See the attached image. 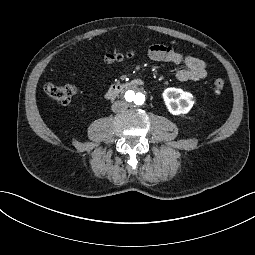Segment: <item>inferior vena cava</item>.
I'll list each match as a JSON object with an SVG mask.
<instances>
[{"label": "inferior vena cava", "mask_w": 255, "mask_h": 255, "mask_svg": "<svg viewBox=\"0 0 255 255\" xmlns=\"http://www.w3.org/2000/svg\"><path fill=\"white\" fill-rule=\"evenodd\" d=\"M127 108L128 103L125 101H115L112 105V111L116 113L125 111Z\"/></svg>", "instance_id": "602c4592"}]
</instances>
